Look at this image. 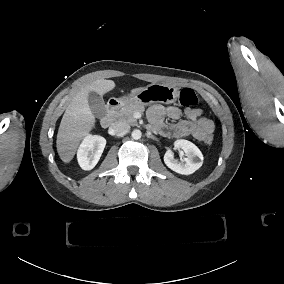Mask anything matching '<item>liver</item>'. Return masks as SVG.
Listing matches in <instances>:
<instances>
[{
    "label": "liver",
    "instance_id": "obj_1",
    "mask_svg": "<svg viewBox=\"0 0 284 284\" xmlns=\"http://www.w3.org/2000/svg\"><path fill=\"white\" fill-rule=\"evenodd\" d=\"M115 88L113 80L101 78L81 86L74 95L61 119L56 137L57 153L64 164L72 162L82 140L89 138L96 126V118L89 106L90 93L103 97ZM144 89L133 88L130 93L135 95Z\"/></svg>",
    "mask_w": 284,
    "mask_h": 284
}]
</instances>
